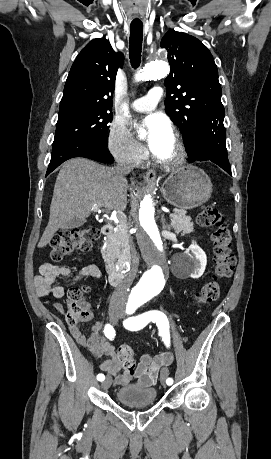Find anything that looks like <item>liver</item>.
<instances>
[{
  "mask_svg": "<svg viewBox=\"0 0 271 459\" xmlns=\"http://www.w3.org/2000/svg\"><path fill=\"white\" fill-rule=\"evenodd\" d=\"M128 182L113 168L87 158H72L63 164L55 182L47 228L38 243H50L55 231L73 218L85 220L92 208L125 210Z\"/></svg>",
  "mask_w": 271,
  "mask_h": 459,
  "instance_id": "6515ba94",
  "label": "liver"
}]
</instances>
